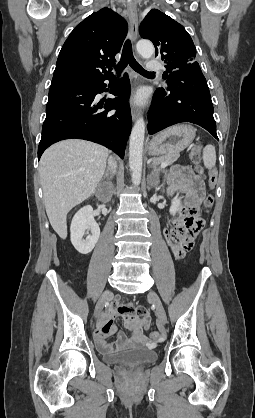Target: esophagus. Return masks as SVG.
Instances as JSON below:
<instances>
[{
	"label": "esophagus",
	"mask_w": 255,
	"mask_h": 418,
	"mask_svg": "<svg viewBox=\"0 0 255 418\" xmlns=\"http://www.w3.org/2000/svg\"><path fill=\"white\" fill-rule=\"evenodd\" d=\"M127 14L130 23V30H131V39L133 42L137 39V32H138V17L137 11L133 4H129L127 7ZM140 115V111L137 108L131 109V116L133 120H136L137 117Z\"/></svg>",
	"instance_id": "obj_1"
}]
</instances>
